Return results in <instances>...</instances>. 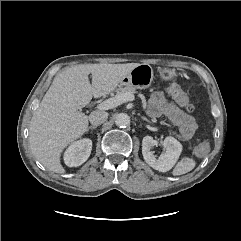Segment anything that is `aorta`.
<instances>
[{"label":"aorta","instance_id":"aorta-1","mask_svg":"<svg viewBox=\"0 0 241 241\" xmlns=\"http://www.w3.org/2000/svg\"><path fill=\"white\" fill-rule=\"evenodd\" d=\"M115 124L118 127H127L128 125H130V117L128 114L126 113H119L116 115L115 117Z\"/></svg>","mask_w":241,"mask_h":241}]
</instances>
